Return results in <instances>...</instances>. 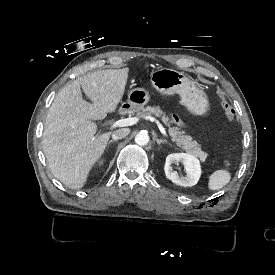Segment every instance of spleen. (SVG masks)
I'll return each mask as SVG.
<instances>
[{
    "label": "spleen",
    "instance_id": "obj_1",
    "mask_svg": "<svg viewBox=\"0 0 275 275\" xmlns=\"http://www.w3.org/2000/svg\"><path fill=\"white\" fill-rule=\"evenodd\" d=\"M231 175L227 170H217L209 177L208 187L211 190H218L229 183Z\"/></svg>",
    "mask_w": 275,
    "mask_h": 275
}]
</instances>
